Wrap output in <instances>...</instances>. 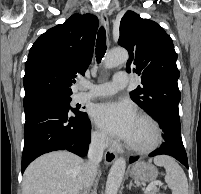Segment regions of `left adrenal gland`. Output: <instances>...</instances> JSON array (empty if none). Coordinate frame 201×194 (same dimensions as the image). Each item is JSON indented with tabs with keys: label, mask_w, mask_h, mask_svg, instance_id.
I'll return each instance as SVG.
<instances>
[{
	"label": "left adrenal gland",
	"mask_w": 201,
	"mask_h": 194,
	"mask_svg": "<svg viewBox=\"0 0 201 194\" xmlns=\"http://www.w3.org/2000/svg\"><path fill=\"white\" fill-rule=\"evenodd\" d=\"M132 186L135 187V185L133 184V182L130 181V184H129V186H128V189H131Z\"/></svg>",
	"instance_id": "left-adrenal-gland-1"
}]
</instances>
